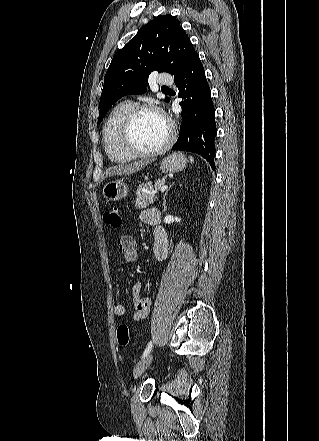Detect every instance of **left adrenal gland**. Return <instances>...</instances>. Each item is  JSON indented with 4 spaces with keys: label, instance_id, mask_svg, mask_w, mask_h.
<instances>
[{
    "label": "left adrenal gland",
    "instance_id": "a2214340",
    "mask_svg": "<svg viewBox=\"0 0 319 441\" xmlns=\"http://www.w3.org/2000/svg\"><path fill=\"white\" fill-rule=\"evenodd\" d=\"M173 184H174V183H173ZM173 184H172V185H173ZM172 185H171V186H172ZM171 186H170V187H171ZM170 187H169V188H170ZM167 192H168V191H167ZM167 192H166V193L164 194V196H163V206H164V208H163V212H166V210H167L166 199H165V197H166V195H167Z\"/></svg>",
    "mask_w": 319,
    "mask_h": 441
}]
</instances>
